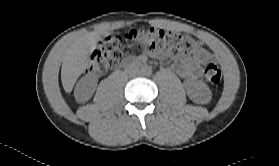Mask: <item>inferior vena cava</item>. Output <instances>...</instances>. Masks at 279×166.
Returning <instances> with one entry per match:
<instances>
[{
    "label": "inferior vena cava",
    "instance_id": "1",
    "mask_svg": "<svg viewBox=\"0 0 279 166\" xmlns=\"http://www.w3.org/2000/svg\"><path fill=\"white\" fill-rule=\"evenodd\" d=\"M130 74L136 75V74H138V70L136 69V70H134V71H131Z\"/></svg>",
    "mask_w": 279,
    "mask_h": 166
}]
</instances>
